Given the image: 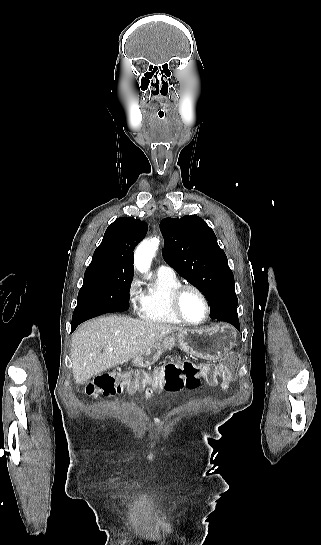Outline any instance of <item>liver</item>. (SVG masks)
Listing matches in <instances>:
<instances>
[{"label": "liver", "instance_id": "obj_1", "mask_svg": "<svg viewBox=\"0 0 321 545\" xmlns=\"http://www.w3.org/2000/svg\"><path fill=\"white\" fill-rule=\"evenodd\" d=\"M176 331H182L181 327L129 319L123 315L98 317L83 323L72 337L71 361L75 383L83 385L93 375L136 359L157 341Z\"/></svg>", "mask_w": 321, "mask_h": 545}]
</instances>
